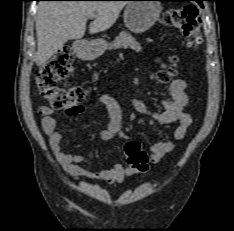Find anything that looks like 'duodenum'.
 I'll return each instance as SVG.
<instances>
[{"label":"duodenum","instance_id":"obj_1","mask_svg":"<svg viewBox=\"0 0 234 231\" xmlns=\"http://www.w3.org/2000/svg\"><path fill=\"white\" fill-rule=\"evenodd\" d=\"M76 49L80 52H84L85 51V45L83 43H78L76 46Z\"/></svg>","mask_w":234,"mask_h":231}]
</instances>
